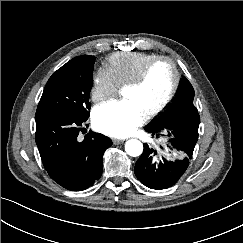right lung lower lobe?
I'll list each match as a JSON object with an SVG mask.
<instances>
[{
    "instance_id": "98d812e1",
    "label": "right lung lower lobe",
    "mask_w": 243,
    "mask_h": 243,
    "mask_svg": "<svg viewBox=\"0 0 243 243\" xmlns=\"http://www.w3.org/2000/svg\"><path fill=\"white\" fill-rule=\"evenodd\" d=\"M89 116L36 114V144L49 176L62 187L81 191L92 186L103 170V154L112 145L110 138L89 131L77 137Z\"/></svg>"
}]
</instances>
